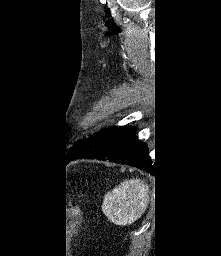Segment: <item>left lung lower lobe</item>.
<instances>
[{
  "label": "left lung lower lobe",
  "instance_id": "obj_1",
  "mask_svg": "<svg viewBox=\"0 0 221 256\" xmlns=\"http://www.w3.org/2000/svg\"><path fill=\"white\" fill-rule=\"evenodd\" d=\"M109 160L153 172L146 144L135 136L133 127H111L87 138L69 160Z\"/></svg>",
  "mask_w": 221,
  "mask_h": 256
}]
</instances>
